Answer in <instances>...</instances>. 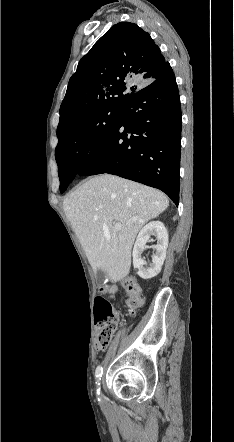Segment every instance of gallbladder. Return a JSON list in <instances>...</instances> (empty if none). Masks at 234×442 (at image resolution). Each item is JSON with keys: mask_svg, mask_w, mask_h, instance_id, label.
<instances>
[{"mask_svg": "<svg viewBox=\"0 0 234 442\" xmlns=\"http://www.w3.org/2000/svg\"><path fill=\"white\" fill-rule=\"evenodd\" d=\"M105 278V272L102 270H97L96 272V280L101 283L103 281V279Z\"/></svg>", "mask_w": 234, "mask_h": 442, "instance_id": "1", "label": "gallbladder"}]
</instances>
